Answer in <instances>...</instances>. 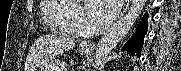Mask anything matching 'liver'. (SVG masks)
Masks as SVG:
<instances>
[{"label": "liver", "mask_w": 181, "mask_h": 71, "mask_svg": "<svg viewBox=\"0 0 181 71\" xmlns=\"http://www.w3.org/2000/svg\"><path fill=\"white\" fill-rule=\"evenodd\" d=\"M74 46V40L66 37L56 35L42 37L36 42V46L34 45L31 48L25 64V71H35L40 61L44 60V57L45 59L48 58V56L50 58L55 57L58 54L72 49Z\"/></svg>", "instance_id": "1"}]
</instances>
